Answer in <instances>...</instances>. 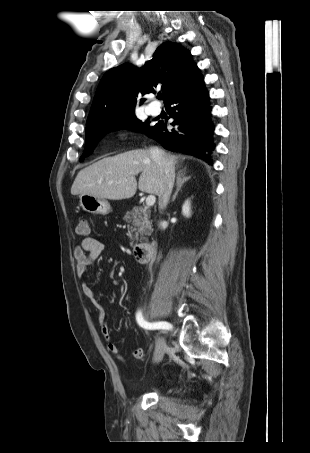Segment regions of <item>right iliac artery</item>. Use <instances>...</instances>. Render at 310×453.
<instances>
[{
  "label": "right iliac artery",
  "mask_w": 310,
  "mask_h": 453,
  "mask_svg": "<svg viewBox=\"0 0 310 453\" xmlns=\"http://www.w3.org/2000/svg\"><path fill=\"white\" fill-rule=\"evenodd\" d=\"M136 320L139 326H141L144 329H149V330H155V329H171L172 326L168 322H156V323H150L147 322L143 316L141 311H138L136 313Z\"/></svg>",
  "instance_id": "right-iliac-artery-1"
}]
</instances>
